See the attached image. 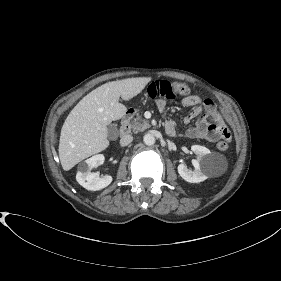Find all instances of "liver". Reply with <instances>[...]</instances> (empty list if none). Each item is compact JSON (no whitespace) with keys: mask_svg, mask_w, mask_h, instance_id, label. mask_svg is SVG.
I'll return each instance as SVG.
<instances>
[{"mask_svg":"<svg viewBox=\"0 0 281 281\" xmlns=\"http://www.w3.org/2000/svg\"><path fill=\"white\" fill-rule=\"evenodd\" d=\"M150 80V77H138L108 82L78 102L67 116L60 134L58 151L65 171L109 146L107 125L126 113L119 98L132 99Z\"/></svg>","mask_w":281,"mask_h":281,"instance_id":"obj_1","label":"liver"}]
</instances>
